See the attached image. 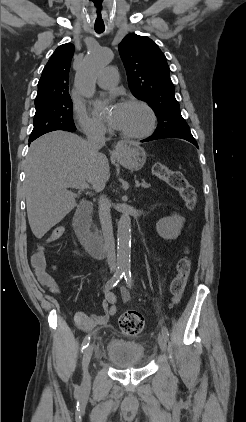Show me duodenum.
<instances>
[{"mask_svg":"<svg viewBox=\"0 0 246 422\" xmlns=\"http://www.w3.org/2000/svg\"><path fill=\"white\" fill-rule=\"evenodd\" d=\"M92 204H84L74 217V229L80 241L89 252L98 258L106 255V248L102 236L90 225Z\"/></svg>","mask_w":246,"mask_h":422,"instance_id":"410a0bca","label":"duodenum"}]
</instances>
